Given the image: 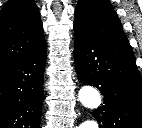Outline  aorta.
<instances>
[{
  "mask_svg": "<svg viewBox=\"0 0 142 128\" xmlns=\"http://www.w3.org/2000/svg\"><path fill=\"white\" fill-rule=\"evenodd\" d=\"M78 99L83 106L89 109H97L101 104L99 92L91 86H84L78 92ZM79 128H98V124L94 120L84 121Z\"/></svg>",
  "mask_w": 142,
  "mask_h": 128,
  "instance_id": "aorta-1",
  "label": "aorta"
}]
</instances>
